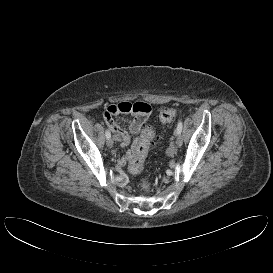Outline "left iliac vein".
<instances>
[{"instance_id": "obj_1", "label": "left iliac vein", "mask_w": 273, "mask_h": 273, "mask_svg": "<svg viewBox=\"0 0 273 273\" xmlns=\"http://www.w3.org/2000/svg\"><path fill=\"white\" fill-rule=\"evenodd\" d=\"M175 143H176L177 147H181L182 146L183 139H182L181 134H177L176 135V141H175Z\"/></svg>"}]
</instances>
